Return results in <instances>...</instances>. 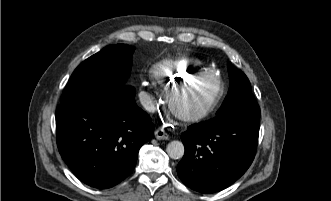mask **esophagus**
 Segmentation results:
<instances>
[{
  "instance_id": "34e87169",
  "label": "esophagus",
  "mask_w": 331,
  "mask_h": 201,
  "mask_svg": "<svg viewBox=\"0 0 331 201\" xmlns=\"http://www.w3.org/2000/svg\"><path fill=\"white\" fill-rule=\"evenodd\" d=\"M154 134L158 140H168L169 139V135L162 128L156 129Z\"/></svg>"
}]
</instances>
